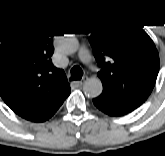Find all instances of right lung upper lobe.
<instances>
[{
  "label": "right lung upper lobe",
  "instance_id": "cb5924a9",
  "mask_svg": "<svg viewBox=\"0 0 165 156\" xmlns=\"http://www.w3.org/2000/svg\"><path fill=\"white\" fill-rule=\"evenodd\" d=\"M60 30L50 23L28 27L0 46V95L26 120L46 121L70 94L65 72L51 61L52 38Z\"/></svg>",
  "mask_w": 165,
  "mask_h": 156
}]
</instances>
